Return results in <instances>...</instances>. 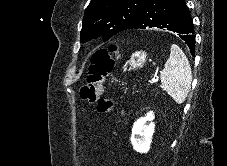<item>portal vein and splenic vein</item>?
<instances>
[{
	"mask_svg": "<svg viewBox=\"0 0 227 166\" xmlns=\"http://www.w3.org/2000/svg\"><path fill=\"white\" fill-rule=\"evenodd\" d=\"M155 82H158V79L153 78V79L150 80V83H155Z\"/></svg>",
	"mask_w": 227,
	"mask_h": 166,
	"instance_id": "obj_1",
	"label": "portal vein and splenic vein"
}]
</instances>
